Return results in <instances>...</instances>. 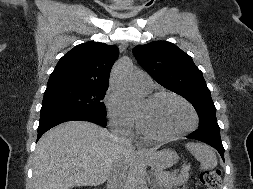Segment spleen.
<instances>
[{"label": "spleen", "instance_id": "3e777b00", "mask_svg": "<svg viewBox=\"0 0 253 189\" xmlns=\"http://www.w3.org/2000/svg\"><path fill=\"white\" fill-rule=\"evenodd\" d=\"M185 146L200 162L202 169L206 170L217 166V156L212 147L195 142H188Z\"/></svg>", "mask_w": 253, "mask_h": 189}]
</instances>
